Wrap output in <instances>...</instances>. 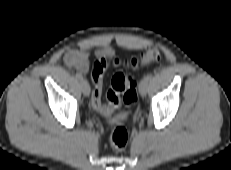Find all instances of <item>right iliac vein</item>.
<instances>
[{"label":"right iliac vein","mask_w":231,"mask_h":170,"mask_svg":"<svg viewBox=\"0 0 231 170\" xmlns=\"http://www.w3.org/2000/svg\"><path fill=\"white\" fill-rule=\"evenodd\" d=\"M81 88H82V92L85 96H89L90 95V85L86 80H81Z\"/></svg>","instance_id":"obj_1"}]
</instances>
